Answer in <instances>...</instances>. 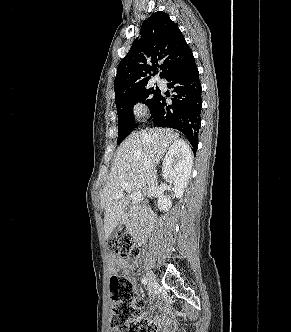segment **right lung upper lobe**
Segmentation results:
<instances>
[{"label": "right lung upper lobe", "instance_id": "obj_1", "mask_svg": "<svg viewBox=\"0 0 291 332\" xmlns=\"http://www.w3.org/2000/svg\"><path fill=\"white\" fill-rule=\"evenodd\" d=\"M192 57L184 36L168 14L153 13L142 24L140 39L134 41L118 65L114 80L115 100L145 87L159 67L162 70L160 77L164 78Z\"/></svg>", "mask_w": 291, "mask_h": 332}]
</instances>
